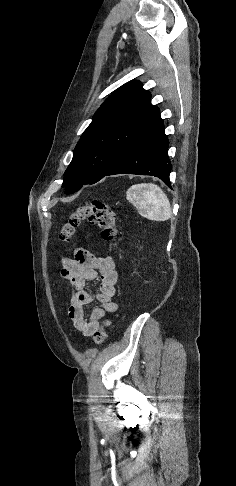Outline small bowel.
<instances>
[{"mask_svg":"<svg viewBox=\"0 0 236 486\" xmlns=\"http://www.w3.org/2000/svg\"><path fill=\"white\" fill-rule=\"evenodd\" d=\"M62 275L74 287L68 309L73 327L83 336H92L99 329L100 320L118 309L117 303L113 301L118 280L116 264L110 256L96 257L86 250L78 249L74 258L63 260ZM97 277L100 285L96 299L100 305L93 308L89 318H86L84 307L94 300L86 285Z\"/></svg>","mask_w":236,"mask_h":486,"instance_id":"small-bowel-1","label":"small bowel"}]
</instances>
